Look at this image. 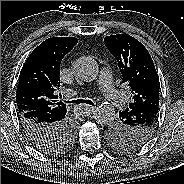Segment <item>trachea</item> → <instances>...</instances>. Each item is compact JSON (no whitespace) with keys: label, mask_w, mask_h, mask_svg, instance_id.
<instances>
[{"label":"trachea","mask_w":184,"mask_h":184,"mask_svg":"<svg viewBox=\"0 0 184 184\" xmlns=\"http://www.w3.org/2000/svg\"><path fill=\"white\" fill-rule=\"evenodd\" d=\"M67 103H73V104H89V105H94V103L91 100L88 99H77V100H72V101H66Z\"/></svg>","instance_id":"obj_1"}]
</instances>
